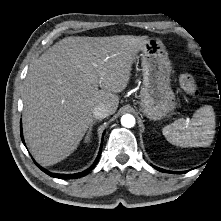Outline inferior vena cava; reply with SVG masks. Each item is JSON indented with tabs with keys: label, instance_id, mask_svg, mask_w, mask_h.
Wrapping results in <instances>:
<instances>
[{
	"label": "inferior vena cava",
	"instance_id": "1",
	"mask_svg": "<svg viewBox=\"0 0 221 221\" xmlns=\"http://www.w3.org/2000/svg\"><path fill=\"white\" fill-rule=\"evenodd\" d=\"M109 109L105 104H99L93 109V117L96 119H103L109 116Z\"/></svg>",
	"mask_w": 221,
	"mask_h": 221
}]
</instances>
